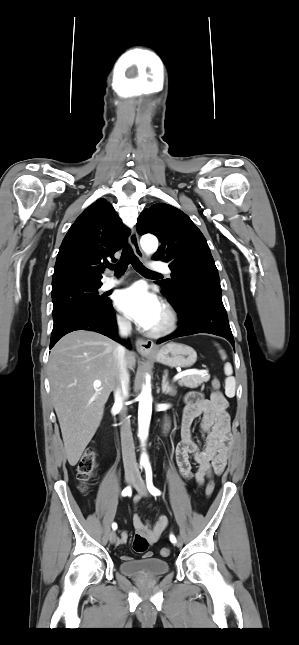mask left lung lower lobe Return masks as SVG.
Instances as JSON below:
<instances>
[{"mask_svg":"<svg viewBox=\"0 0 299 645\" xmlns=\"http://www.w3.org/2000/svg\"><path fill=\"white\" fill-rule=\"evenodd\" d=\"M164 295L179 315V328L159 339L158 343L181 336L209 333L226 338L234 347L219 281L200 283L177 296Z\"/></svg>","mask_w":299,"mask_h":645,"instance_id":"obj_1","label":"left lung lower lobe"}]
</instances>
